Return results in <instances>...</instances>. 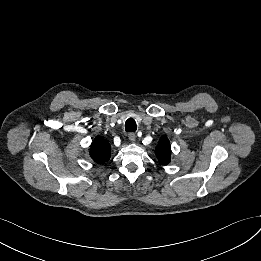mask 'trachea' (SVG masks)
<instances>
[{"label":"trachea","mask_w":261,"mask_h":261,"mask_svg":"<svg viewBox=\"0 0 261 261\" xmlns=\"http://www.w3.org/2000/svg\"><path fill=\"white\" fill-rule=\"evenodd\" d=\"M125 129L127 132H135L137 130V125L134 119L129 118L125 122Z\"/></svg>","instance_id":"3493384b"}]
</instances>
